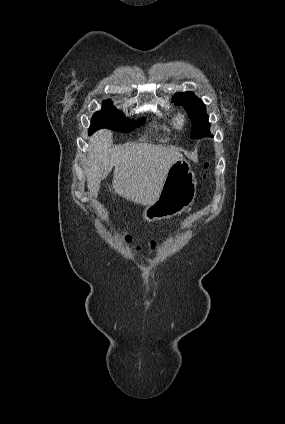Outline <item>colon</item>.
<instances>
[{
	"instance_id": "obj_1",
	"label": "colon",
	"mask_w": 285,
	"mask_h": 424,
	"mask_svg": "<svg viewBox=\"0 0 285 424\" xmlns=\"http://www.w3.org/2000/svg\"><path fill=\"white\" fill-rule=\"evenodd\" d=\"M209 163L208 162H206L205 163V169L206 170H208L209 169ZM205 177L207 176L206 174L204 175ZM122 240H123V243L126 245V246H128L132 251H139L140 249H141V247L139 246V245H135V244H133L132 243V241H131V239H130V237L128 236V235H126V234H124L123 236H122ZM147 247L149 248V249H153L154 247H155V243L152 241V242H150L148 245H147Z\"/></svg>"
}]
</instances>
